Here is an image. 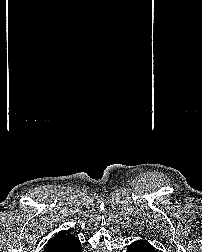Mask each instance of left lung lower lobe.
Here are the masks:
<instances>
[{
	"instance_id": "0a47b994",
	"label": "left lung lower lobe",
	"mask_w": 202,
	"mask_h": 252,
	"mask_svg": "<svg viewBox=\"0 0 202 252\" xmlns=\"http://www.w3.org/2000/svg\"><path fill=\"white\" fill-rule=\"evenodd\" d=\"M127 252H157L147 240H138L127 248Z\"/></svg>"
}]
</instances>
